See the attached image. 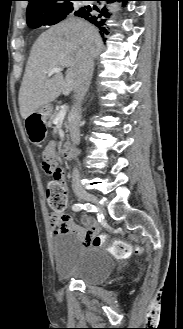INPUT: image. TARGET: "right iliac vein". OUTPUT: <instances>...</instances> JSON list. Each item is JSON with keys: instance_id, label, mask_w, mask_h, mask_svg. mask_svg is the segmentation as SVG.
<instances>
[{"instance_id": "right-iliac-vein-1", "label": "right iliac vein", "mask_w": 183, "mask_h": 329, "mask_svg": "<svg viewBox=\"0 0 183 329\" xmlns=\"http://www.w3.org/2000/svg\"><path fill=\"white\" fill-rule=\"evenodd\" d=\"M76 194H77L78 198H80L82 200L90 201V202L96 204L97 206H99L98 198L95 195L90 194L85 190H78Z\"/></svg>"}]
</instances>
